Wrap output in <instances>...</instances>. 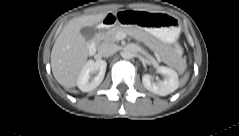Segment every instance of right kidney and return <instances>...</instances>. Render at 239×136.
Masks as SVG:
<instances>
[{
    "instance_id": "obj_1",
    "label": "right kidney",
    "mask_w": 239,
    "mask_h": 136,
    "mask_svg": "<svg viewBox=\"0 0 239 136\" xmlns=\"http://www.w3.org/2000/svg\"><path fill=\"white\" fill-rule=\"evenodd\" d=\"M107 63L104 60H89L82 67L77 79V86L82 92L96 89L104 79Z\"/></svg>"
}]
</instances>
